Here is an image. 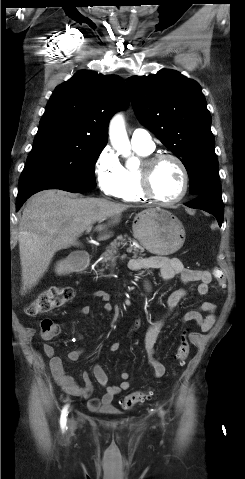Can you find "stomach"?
<instances>
[{
  "instance_id": "0dacf381",
  "label": "stomach",
  "mask_w": 245,
  "mask_h": 479,
  "mask_svg": "<svg viewBox=\"0 0 245 479\" xmlns=\"http://www.w3.org/2000/svg\"><path fill=\"white\" fill-rule=\"evenodd\" d=\"M135 238L152 254L169 255L179 250L185 241V230L177 217L160 208H149L139 212L133 222ZM69 271L67 261L56 266L58 274Z\"/></svg>"
}]
</instances>
